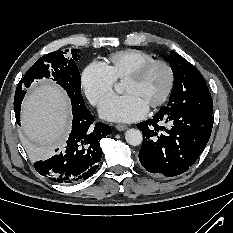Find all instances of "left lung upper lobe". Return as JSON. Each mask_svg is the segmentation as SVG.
Wrapping results in <instances>:
<instances>
[{"mask_svg":"<svg viewBox=\"0 0 233 233\" xmlns=\"http://www.w3.org/2000/svg\"><path fill=\"white\" fill-rule=\"evenodd\" d=\"M168 61L174 85L167 106L213 115V101L202 74L174 51Z\"/></svg>","mask_w":233,"mask_h":233,"instance_id":"5c2ea615","label":"left lung upper lobe"}]
</instances>
